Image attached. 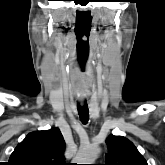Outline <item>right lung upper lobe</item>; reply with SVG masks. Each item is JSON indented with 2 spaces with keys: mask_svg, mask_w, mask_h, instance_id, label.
<instances>
[{
  "mask_svg": "<svg viewBox=\"0 0 165 165\" xmlns=\"http://www.w3.org/2000/svg\"><path fill=\"white\" fill-rule=\"evenodd\" d=\"M65 141L58 128L29 133L15 148L9 165H67Z\"/></svg>",
  "mask_w": 165,
  "mask_h": 165,
  "instance_id": "right-lung-upper-lobe-1",
  "label": "right lung upper lobe"
}]
</instances>
